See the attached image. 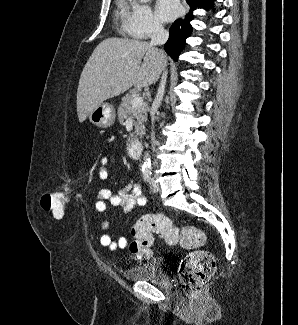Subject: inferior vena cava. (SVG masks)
Here are the masks:
<instances>
[{"label": "inferior vena cava", "instance_id": "inferior-vena-cava-1", "mask_svg": "<svg viewBox=\"0 0 298 325\" xmlns=\"http://www.w3.org/2000/svg\"><path fill=\"white\" fill-rule=\"evenodd\" d=\"M168 38H169V30H166V28H164V26H162L161 22H154L153 30H152V34H151V40L149 42L150 46H155V48H156L157 44H165V42H167ZM162 52L164 54V50H162ZM164 56H166V54H164ZM166 62H167V60H165L163 66L160 70V72H161L160 82H159L158 90L156 92V96L152 102V108H151L152 122H154V116L163 100V96H164V92H165V88H166L167 74H168ZM151 138H152V142H156L154 130H152V132H151Z\"/></svg>", "mask_w": 298, "mask_h": 325}]
</instances>
